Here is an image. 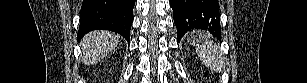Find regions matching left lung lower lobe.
I'll list each match as a JSON object with an SVG mask.
<instances>
[{
    "mask_svg": "<svg viewBox=\"0 0 307 83\" xmlns=\"http://www.w3.org/2000/svg\"><path fill=\"white\" fill-rule=\"evenodd\" d=\"M178 40L196 29L221 38L219 3L217 0H170Z\"/></svg>",
    "mask_w": 307,
    "mask_h": 83,
    "instance_id": "0a47b994",
    "label": "left lung lower lobe"
}]
</instances>
